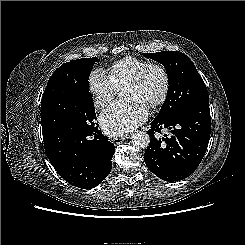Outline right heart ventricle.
Returning a JSON list of instances; mask_svg holds the SVG:
<instances>
[{
  "mask_svg": "<svg viewBox=\"0 0 245 245\" xmlns=\"http://www.w3.org/2000/svg\"><path fill=\"white\" fill-rule=\"evenodd\" d=\"M148 63V61L140 58L125 57L110 65L106 74L113 85L117 89H121Z\"/></svg>",
  "mask_w": 245,
  "mask_h": 245,
  "instance_id": "obj_1",
  "label": "right heart ventricle"
}]
</instances>
